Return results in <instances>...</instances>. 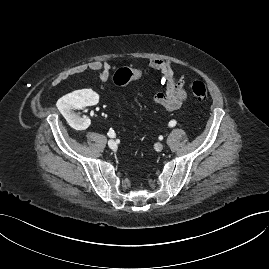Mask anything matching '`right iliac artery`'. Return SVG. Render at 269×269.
<instances>
[{"instance_id": "1", "label": "right iliac artery", "mask_w": 269, "mask_h": 269, "mask_svg": "<svg viewBox=\"0 0 269 269\" xmlns=\"http://www.w3.org/2000/svg\"><path fill=\"white\" fill-rule=\"evenodd\" d=\"M115 135H116V134H115L114 130H110V131L108 132V136L111 137V138H114Z\"/></svg>"}]
</instances>
